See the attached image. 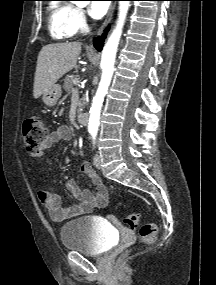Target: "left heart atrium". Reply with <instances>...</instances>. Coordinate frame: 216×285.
Wrapping results in <instances>:
<instances>
[{"mask_svg":"<svg viewBox=\"0 0 216 285\" xmlns=\"http://www.w3.org/2000/svg\"><path fill=\"white\" fill-rule=\"evenodd\" d=\"M109 1H93L90 4L89 13L94 19L102 18L108 11Z\"/></svg>","mask_w":216,"mask_h":285,"instance_id":"39dd6f15","label":"left heart atrium"}]
</instances>
